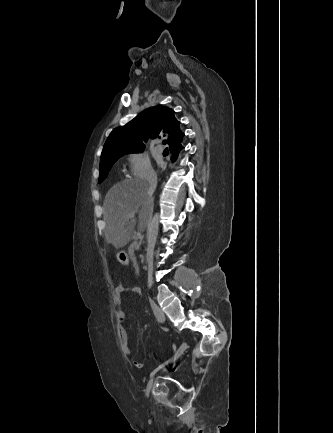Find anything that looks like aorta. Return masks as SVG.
Returning a JSON list of instances; mask_svg holds the SVG:
<instances>
[{
    "instance_id": "obj_1",
    "label": "aorta",
    "mask_w": 333,
    "mask_h": 433,
    "mask_svg": "<svg viewBox=\"0 0 333 433\" xmlns=\"http://www.w3.org/2000/svg\"><path fill=\"white\" fill-rule=\"evenodd\" d=\"M159 213H155L152 219L148 223L147 230V249H146V257L147 259L153 258L154 249L158 237L159 232Z\"/></svg>"
}]
</instances>
